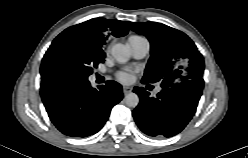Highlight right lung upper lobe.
Listing matches in <instances>:
<instances>
[{"label": "right lung upper lobe", "mask_w": 248, "mask_h": 158, "mask_svg": "<svg viewBox=\"0 0 248 158\" xmlns=\"http://www.w3.org/2000/svg\"><path fill=\"white\" fill-rule=\"evenodd\" d=\"M109 31L114 36L120 37L128 33V28L124 22L119 20L95 18L67 28L56 38L71 37L89 48L103 51L101 47L105 42L106 34ZM40 71L42 77L41 88L55 83L45 75L42 68Z\"/></svg>", "instance_id": "right-lung-upper-lobe-1"}]
</instances>
